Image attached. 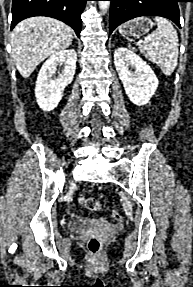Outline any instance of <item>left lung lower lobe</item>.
I'll list each match as a JSON object with an SVG mask.
<instances>
[{"instance_id": "1", "label": "left lung lower lobe", "mask_w": 193, "mask_h": 287, "mask_svg": "<svg viewBox=\"0 0 193 287\" xmlns=\"http://www.w3.org/2000/svg\"><path fill=\"white\" fill-rule=\"evenodd\" d=\"M110 33L120 24L139 16H162L172 20L180 27V0H109Z\"/></svg>"}]
</instances>
